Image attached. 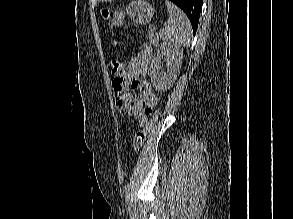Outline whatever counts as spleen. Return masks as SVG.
<instances>
[{
    "label": "spleen",
    "instance_id": "3e777b00",
    "mask_svg": "<svg viewBox=\"0 0 293 219\" xmlns=\"http://www.w3.org/2000/svg\"><path fill=\"white\" fill-rule=\"evenodd\" d=\"M165 4L168 8L169 19L168 23L160 31V37L168 43L189 46L192 37V27L188 17L168 0L165 1Z\"/></svg>",
    "mask_w": 293,
    "mask_h": 219
}]
</instances>
